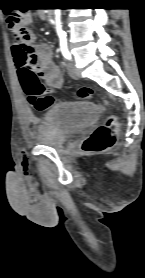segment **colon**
Here are the masks:
<instances>
[{
  "label": "colon",
  "instance_id": "colon-1",
  "mask_svg": "<svg viewBox=\"0 0 145 278\" xmlns=\"http://www.w3.org/2000/svg\"><path fill=\"white\" fill-rule=\"evenodd\" d=\"M7 25L11 34L18 41L24 52H32L33 45L29 39L30 18L29 13L23 9H16L8 13ZM21 85L28 97V102L36 111H45L49 106L57 103V99L46 93V89L34 72L23 75ZM93 94L90 87H81L77 92L78 100H88ZM118 130V122L114 117H109L98 126L82 145L86 153H99L111 147Z\"/></svg>",
  "mask_w": 145,
  "mask_h": 278
}]
</instances>
